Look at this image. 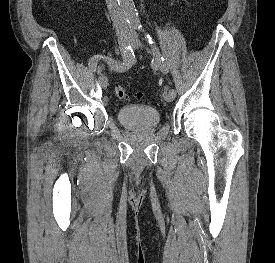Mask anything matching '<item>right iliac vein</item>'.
Wrapping results in <instances>:
<instances>
[{
    "mask_svg": "<svg viewBox=\"0 0 275 263\" xmlns=\"http://www.w3.org/2000/svg\"><path fill=\"white\" fill-rule=\"evenodd\" d=\"M118 42H119V49H120L121 53L124 54L126 51V48L130 44V40L127 38H120ZM98 81H99L100 85L102 86V88L105 89L107 87L108 79L106 76H100Z\"/></svg>",
    "mask_w": 275,
    "mask_h": 263,
    "instance_id": "63e3f726",
    "label": "right iliac vein"
}]
</instances>
